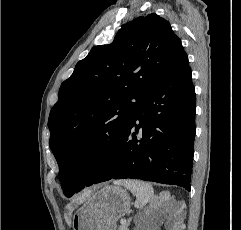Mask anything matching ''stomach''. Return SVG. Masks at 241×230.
Listing matches in <instances>:
<instances>
[{
    "label": "stomach",
    "instance_id": "1",
    "mask_svg": "<svg viewBox=\"0 0 241 230\" xmlns=\"http://www.w3.org/2000/svg\"><path fill=\"white\" fill-rule=\"evenodd\" d=\"M130 196L119 186L106 185L96 192L75 213L73 230H116L118 219L130 210Z\"/></svg>",
    "mask_w": 241,
    "mask_h": 230
}]
</instances>
